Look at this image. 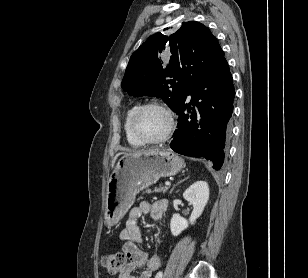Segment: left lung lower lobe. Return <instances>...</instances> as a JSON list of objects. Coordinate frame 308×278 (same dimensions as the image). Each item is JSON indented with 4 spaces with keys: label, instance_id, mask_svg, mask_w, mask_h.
<instances>
[{
    "label": "left lung lower lobe",
    "instance_id": "1",
    "mask_svg": "<svg viewBox=\"0 0 308 278\" xmlns=\"http://www.w3.org/2000/svg\"><path fill=\"white\" fill-rule=\"evenodd\" d=\"M188 95L190 105L195 107L184 104ZM234 96L232 75L224 58L189 89L183 104L175 110L178 126L170 147L185 156L210 160L219 170L230 137ZM186 108L190 114L184 113Z\"/></svg>",
    "mask_w": 308,
    "mask_h": 278
}]
</instances>
